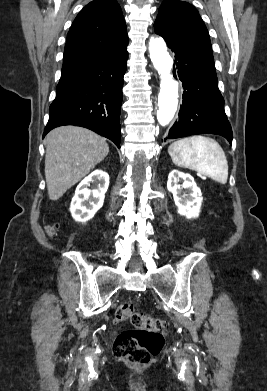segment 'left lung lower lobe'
I'll return each instance as SVG.
<instances>
[{"label":"left lung lower lobe","instance_id":"left-lung-lower-lobe-1","mask_svg":"<svg viewBox=\"0 0 267 391\" xmlns=\"http://www.w3.org/2000/svg\"><path fill=\"white\" fill-rule=\"evenodd\" d=\"M175 54L173 75L183 85L179 118L168 139L195 134H216L232 142V129L224 112V99L218 89L213 56L195 48L165 39Z\"/></svg>","mask_w":267,"mask_h":391}]
</instances>
